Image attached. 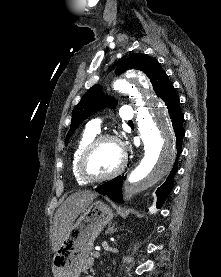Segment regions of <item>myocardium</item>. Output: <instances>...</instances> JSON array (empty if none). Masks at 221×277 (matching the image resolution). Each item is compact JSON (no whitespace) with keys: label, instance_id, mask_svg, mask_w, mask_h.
Wrapping results in <instances>:
<instances>
[{"label":"myocardium","instance_id":"f54148a6","mask_svg":"<svg viewBox=\"0 0 221 277\" xmlns=\"http://www.w3.org/2000/svg\"><path fill=\"white\" fill-rule=\"evenodd\" d=\"M113 142L115 143L119 149H120V153H121V160L119 165L110 173L106 174V175H102V176H92L90 175L87 171H86V162L87 159L89 158V156L91 155V153L102 143L104 142ZM127 163V154H126V150L124 148L123 143L121 142V140L115 136V135H111V134H103V135H99L96 136L82 151L78 162H77V171L79 176L85 181V182H90V183H94V182H102V181H106L109 179H112L114 177H116L117 175H119L123 169L125 168Z\"/></svg>","mask_w":221,"mask_h":277}]
</instances>
